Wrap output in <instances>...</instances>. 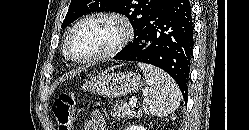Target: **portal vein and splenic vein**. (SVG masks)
<instances>
[{"mask_svg": "<svg viewBox=\"0 0 249 130\" xmlns=\"http://www.w3.org/2000/svg\"><path fill=\"white\" fill-rule=\"evenodd\" d=\"M129 104L131 107H136L137 102L134 100H131Z\"/></svg>", "mask_w": 249, "mask_h": 130, "instance_id": "18ae733b", "label": "portal vein and splenic vein"}]
</instances>
